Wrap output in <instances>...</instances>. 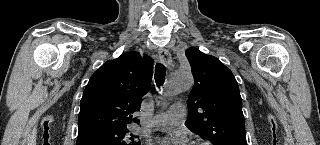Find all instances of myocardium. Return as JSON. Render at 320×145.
<instances>
[{"mask_svg":"<svg viewBox=\"0 0 320 145\" xmlns=\"http://www.w3.org/2000/svg\"><path fill=\"white\" fill-rule=\"evenodd\" d=\"M195 145H206V144L203 143V142H198V143H196Z\"/></svg>","mask_w":320,"mask_h":145,"instance_id":"obj_1","label":"myocardium"}]
</instances>
